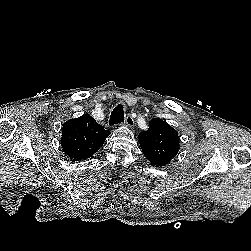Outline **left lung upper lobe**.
I'll list each match as a JSON object with an SVG mask.
<instances>
[{
    "label": "left lung upper lobe",
    "instance_id": "1",
    "mask_svg": "<svg viewBox=\"0 0 251 251\" xmlns=\"http://www.w3.org/2000/svg\"><path fill=\"white\" fill-rule=\"evenodd\" d=\"M144 156L154 166L168 164L179 151L178 132L165 121L154 118L147 131L138 135Z\"/></svg>",
    "mask_w": 251,
    "mask_h": 251
}]
</instances>
